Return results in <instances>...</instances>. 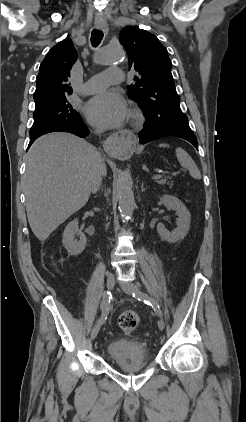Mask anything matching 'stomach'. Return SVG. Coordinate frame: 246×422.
<instances>
[{
  "mask_svg": "<svg viewBox=\"0 0 246 422\" xmlns=\"http://www.w3.org/2000/svg\"><path fill=\"white\" fill-rule=\"evenodd\" d=\"M131 154H132V150L131 149L126 152V156L127 157H129Z\"/></svg>",
  "mask_w": 246,
  "mask_h": 422,
  "instance_id": "obj_1",
  "label": "stomach"
}]
</instances>
